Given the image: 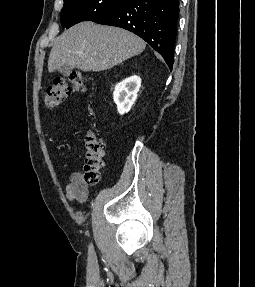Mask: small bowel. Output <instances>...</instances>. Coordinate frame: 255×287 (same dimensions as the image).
<instances>
[{"label": "small bowel", "instance_id": "small-bowel-1", "mask_svg": "<svg viewBox=\"0 0 255 287\" xmlns=\"http://www.w3.org/2000/svg\"><path fill=\"white\" fill-rule=\"evenodd\" d=\"M66 199L69 203L84 202L88 196V184L84 181L81 173L71 174L69 182L65 188Z\"/></svg>", "mask_w": 255, "mask_h": 287}]
</instances>
